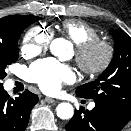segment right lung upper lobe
<instances>
[{"label":"right lung upper lobe","mask_w":131,"mask_h":131,"mask_svg":"<svg viewBox=\"0 0 131 131\" xmlns=\"http://www.w3.org/2000/svg\"><path fill=\"white\" fill-rule=\"evenodd\" d=\"M18 15L6 16L0 19V37L7 34L10 22Z\"/></svg>","instance_id":"cb5924a9"}]
</instances>
